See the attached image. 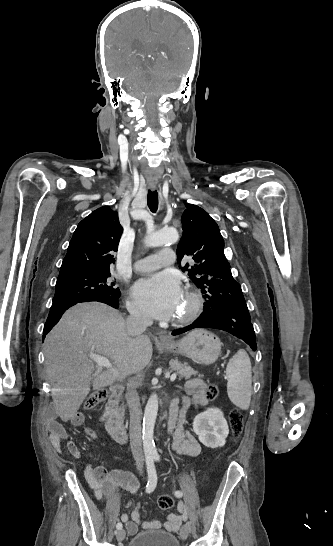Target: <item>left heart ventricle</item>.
<instances>
[{
  "mask_svg": "<svg viewBox=\"0 0 333 546\" xmlns=\"http://www.w3.org/2000/svg\"><path fill=\"white\" fill-rule=\"evenodd\" d=\"M190 302L185 294L182 295V298L177 306L174 318H179L183 316L189 309Z\"/></svg>",
  "mask_w": 333,
  "mask_h": 546,
  "instance_id": "obj_1",
  "label": "left heart ventricle"
}]
</instances>
